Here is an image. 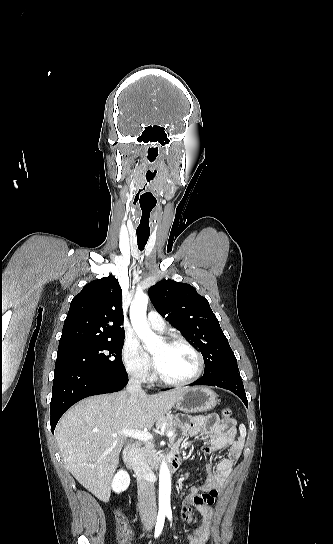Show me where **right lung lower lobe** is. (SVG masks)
<instances>
[{"label":"right lung lower lobe","mask_w":333,"mask_h":544,"mask_svg":"<svg viewBox=\"0 0 333 544\" xmlns=\"http://www.w3.org/2000/svg\"><path fill=\"white\" fill-rule=\"evenodd\" d=\"M127 382L128 377L121 379L103 375L72 364L55 365L50 404L52 433L60 417L73 404L88 396L120 391Z\"/></svg>","instance_id":"1"}]
</instances>
